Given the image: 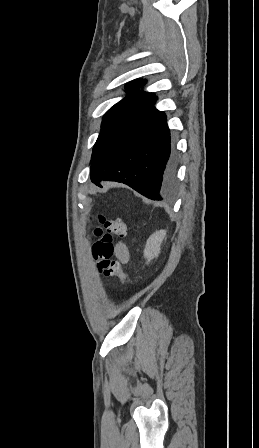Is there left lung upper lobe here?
<instances>
[{
  "label": "left lung upper lobe",
  "instance_id": "left-lung-upper-lobe-1",
  "mask_svg": "<svg viewBox=\"0 0 259 448\" xmlns=\"http://www.w3.org/2000/svg\"><path fill=\"white\" fill-rule=\"evenodd\" d=\"M146 84V80L136 79L125 85L128 95L111 107L103 116L101 132L93 147L91 161L101 148L125 125L128 119L142 110L154 97V93L140 90Z\"/></svg>",
  "mask_w": 259,
  "mask_h": 448
}]
</instances>
